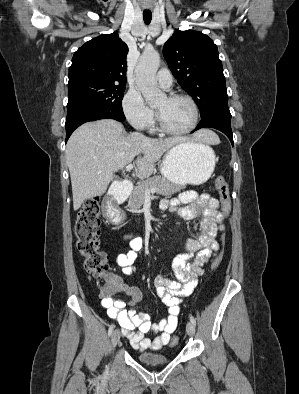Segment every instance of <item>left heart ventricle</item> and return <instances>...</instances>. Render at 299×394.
<instances>
[{
	"mask_svg": "<svg viewBox=\"0 0 299 394\" xmlns=\"http://www.w3.org/2000/svg\"><path fill=\"white\" fill-rule=\"evenodd\" d=\"M155 108L165 124L175 130L188 128L194 119L192 106L183 99L170 100L164 96L156 102Z\"/></svg>",
	"mask_w": 299,
	"mask_h": 394,
	"instance_id": "left-heart-ventricle-1",
	"label": "left heart ventricle"
}]
</instances>
